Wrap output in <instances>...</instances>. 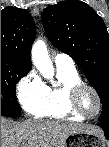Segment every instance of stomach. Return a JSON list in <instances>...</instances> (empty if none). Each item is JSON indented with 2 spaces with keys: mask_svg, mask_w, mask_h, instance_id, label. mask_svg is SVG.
Masks as SVG:
<instances>
[{
  "mask_svg": "<svg viewBox=\"0 0 109 147\" xmlns=\"http://www.w3.org/2000/svg\"><path fill=\"white\" fill-rule=\"evenodd\" d=\"M108 142L104 135L87 132H75L70 134L65 142V147H107Z\"/></svg>",
  "mask_w": 109,
  "mask_h": 147,
  "instance_id": "1",
  "label": "stomach"
}]
</instances>
